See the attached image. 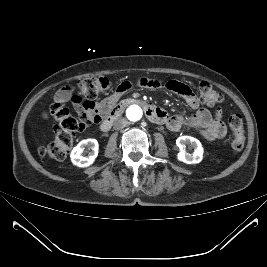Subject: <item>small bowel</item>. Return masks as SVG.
Listing matches in <instances>:
<instances>
[{
    "instance_id": "c3829d8e",
    "label": "small bowel",
    "mask_w": 267,
    "mask_h": 267,
    "mask_svg": "<svg viewBox=\"0 0 267 267\" xmlns=\"http://www.w3.org/2000/svg\"><path fill=\"white\" fill-rule=\"evenodd\" d=\"M136 84L151 89H164L175 93L179 95L189 107L195 110V113L191 117L184 118L178 114L169 116L165 111L160 109L165 117L164 124H166L170 130L178 131L182 126L189 125L197 128L200 134L209 141H218L226 135V126L220 119L221 110L218 109L216 111L217 117L214 118L208 109L200 107L199 98L191 87L176 80L162 81L158 79L141 78L136 82L124 81L112 94L100 103L82 102L78 100L77 96L73 94V88L67 85L56 93L55 99L61 103L72 102L81 117L89 118L92 120V123H97L100 121L101 117L109 112L119 98Z\"/></svg>"
}]
</instances>
